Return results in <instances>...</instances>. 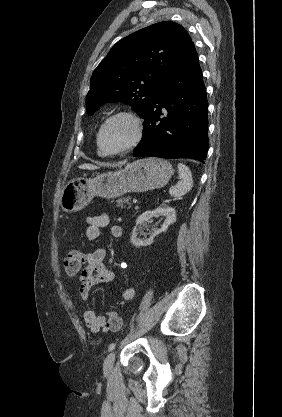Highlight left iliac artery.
I'll list each match as a JSON object with an SVG mask.
<instances>
[{"instance_id":"44dca946","label":"left iliac artery","mask_w":282,"mask_h":417,"mask_svg":"<svg viewBox=\"0 0 282 417\" xmlns=\"http://www.w3.org/2000/svg\"><path fill=\"white\" fill-rule=\"evenodd\" d=\"M115 343H111L108 347V351H112L115 348Z\"/></svg>"}]
</instances>
